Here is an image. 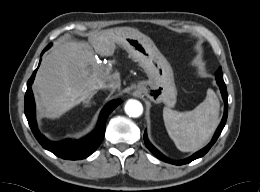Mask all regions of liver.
<instances>
[{"instance_id": "6515ba94", "label": "liver", "mask_w": 260, "mask_h": 192, "mask_svg": "<svg viewBox=\"0 0 260 192\" xmlns=\"http://www.w3.org/2000/svg\"><path fill=\"white\" fill-rule=\"evenodd\" d=\"M116 29L96 33L86 43L65 41L43 58L33 86L40 113L59 117L93 96L102 83L119 79L93 50L101 56L112 55Z\"/></svg>"}]
</instances>
